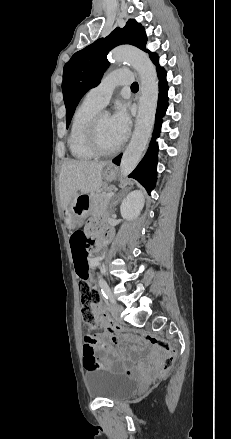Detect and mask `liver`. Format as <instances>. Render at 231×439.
Returning a JSON list of instances; mask_svg holds the SVG:
<instances>
[{
	"instance_id": "1",
	"label": "liver",
	"mask_w": 231,
	"mask_h": 439,
	"mask_svg": "<svg viewBox=\"0 0 231 439\" xmlns=\"http://www.w3.org/2000/svg\"><path fill=\"white\" fill-rule=\"evenodd\" d=\"M108 162L67 160L63 163L59 176L60 200L62 208L69 206L79 194H88L100 189L102 170Z\"/></svg>"
}]
</instances>
